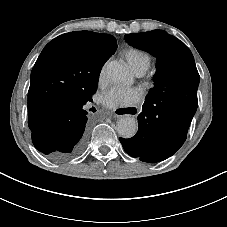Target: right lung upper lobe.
<instances>
[{
  "label": "right lung upper lobe",
  "instance_id": "cb5924a9",
  "mask_svg": "<svg viewBox=\"0 0 227 227\" xmlns=\"http://www.w3.org/2000/svg\"><path fill=\"white\" fill-rule=\"evenodd\" d=\"M116 39L109 34L74 31L49 42L31 72L28 125L40 132L51 122L60 104L90 91L96 65L110 58Z\"/></svg>",
  "mask_w": 227,
  "mask_h": 227
}]
</instances>
